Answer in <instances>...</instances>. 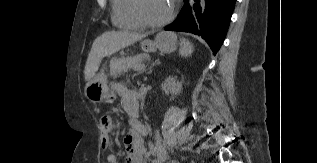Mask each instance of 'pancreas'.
<instances>
[{"instance_id": "pancreas-1", "label": "pancreas", "mask_w": 317, "mask_h": 163, "mask_svg": "<svg viewBox=\"0 0 317 163\" xmlns=\"http://www.w3.org/2000/svg\"><path fill=\"white\" fill-rule=\"evenodd\" d=\"M145 56L137 55L134 57L113 58L110 61V75L113 77L121 76L128 69L135 68L137 65H142Z\"/></svg>"}]
</instances>
